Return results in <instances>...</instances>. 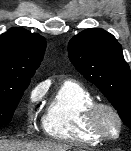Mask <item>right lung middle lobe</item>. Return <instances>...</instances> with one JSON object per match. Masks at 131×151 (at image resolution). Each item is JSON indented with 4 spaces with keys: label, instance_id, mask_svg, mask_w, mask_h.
<instances>
[{
    "label": "right lung middle lobe",
    "instance_id": "right-lung-middle-lobe-1",
    "mask_svg": "<svg viewBox=\"0 0 131 151\" xmlns=\"http://www.w3.org/2000/svg\"><path fill=\"white\" fill-rule=\"evenodd\" d=\"M28 83L0 82V125L8 124Z\"/></svg>",
    "mask_w": 131,
    "mask_h": 151
}]
</instances>
